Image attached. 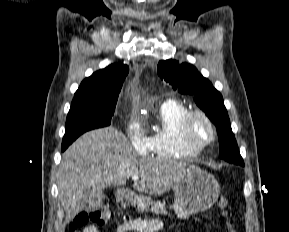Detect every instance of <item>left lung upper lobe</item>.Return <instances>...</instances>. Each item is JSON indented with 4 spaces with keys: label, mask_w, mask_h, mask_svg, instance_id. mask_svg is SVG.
<instances>
[{
    "label": "left lung upper lobe",
    "mask_w": 289,
    "mask_h": 232,
    "mask_svg": "<svg viewBox=\"0 0 289 232\" xmlns=\"http://www.w3.org/2000/svg\"><path fill=\"white\" fill-rule=\"evenodd\" d=\"M158 75L181 94L194 95L196 104L215 124L220 143V158L244 165L233 135L222 95L204 78L197 69L176 60H162L157 66Z\"/></svg>",
    "instance_id": "left-lung-upper-lobe-1"
}]
</instances>
